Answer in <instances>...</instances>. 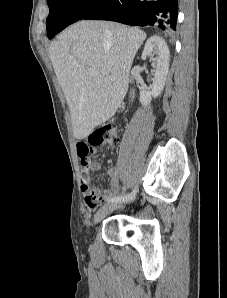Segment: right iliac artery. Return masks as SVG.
Returning <instances> with one entry per match:
<instances>
[{"mask_svg":"<svg viewBox=\"0 0 227 298\" xmlns=\"http://www.w3.org/2000/svg\"><path fill=\"white\" fill-rule=\"evenodd\" d=\"M137 188H135L130 194L125 196H114L108 199V202H127L135 198Z\"/></svg>","mask_w":227,"mask_h":298,"instance_id":"right-iliac-artery-1","label":"right iliac artery"}]
</instances>
